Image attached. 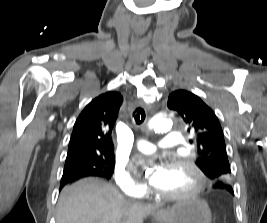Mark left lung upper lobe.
I'll return each mask as SVG.
<instances>
[{"mask_svg": "<svg viewBox=\"0 0 267 223\" xmlns=\"http://www.w3.org/2000/svg\"><path fill=\"white\" fill-rule=\"evenodd\" d=\"M168 107L177 111L193 131L190 143L197 144L196 165L215 182H227L231 173L221 125L211 108L198 96L186 90L172 92Z\"/></svg>", "mask_w": 267, "mask_h": 223, "instance_id": "1", "label": "left lung upper lobe"}]
</instances>
